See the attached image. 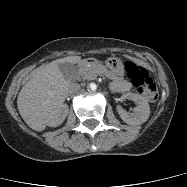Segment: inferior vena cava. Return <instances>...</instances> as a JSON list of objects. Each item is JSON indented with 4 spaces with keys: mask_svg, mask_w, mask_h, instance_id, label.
Returning <instances> with one entry per match:
<instances>
[{
    "mask_svg": "<svg viewBox=\"0 0 187 187\" xmlns=\"http://www.w3.org/2000/svg\"><path fill=\"white\" fill-rule=\"evenodd\" d=\"M80 89H81L80 84H78V83H72V84L70 85V88H69V93H70V94L77 93V92L80 91Z\"/></svg>",
    "mask_w": 187,
    "mask_h": 187,
    "instance_id": "obj_1",
    "label": "inferior vena cava"
}]
</instances>
